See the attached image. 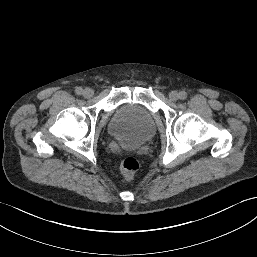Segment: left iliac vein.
<instances>
[{"instance_id": "left-iliac-vein-1", "label": "left iliac vein", "mask_w": 257, "mask_h": 257, "mask_svg": "<svg viewBox=\"0 0 257 257\" xmlns=\"http://www.w3.org/2000/svg\"><path fill=\"white\" fill-rule=\"evenodd\" d=\"M178 98H179V94H178L177 91H171V92L169 93V99H170L171 101H177Z\"/></svg>"}]
</instances>
